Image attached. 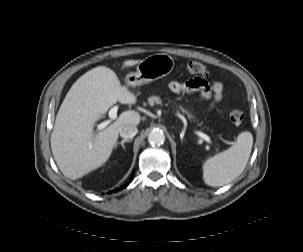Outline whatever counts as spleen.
<instances>
[{"instance_id":"spleen-1","label":"spleen","mask_w":303,"mask_h":252,"mask_svg":"<svg viewBox=\"0 0 303 252\" xmlns=\"http://www.w3.org/2000/svg\"><path fill=\"white\" fill-rule=\"evenodd\" d=\"M253 146V136L250 132H241L236 143L228 150L203 163V180L212 187H219L232 182L245 169Z\"/></svg>"}]
</instances>
